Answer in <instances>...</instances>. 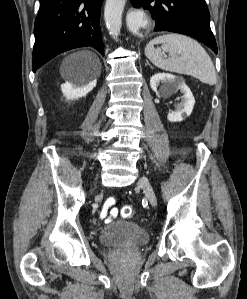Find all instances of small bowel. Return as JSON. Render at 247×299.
<instances>
[{
  "mask_svg": "<svg viewBox=\"0 0 247 299\" xmlns=\"http://www.w3.org/2000/svg\"><path fill=\"white\" fill-rule=\"evenodd\" d=\"M115 198H108L102 206L100 217L110 222L113 218L117 217L119 214L118 208L114 207Z\"/></svg>",
  "mask_w": 247,
  "mask_h": 299,
  "instance_id": "obj_1",
  "label": "small bowel"
}]
</instances>
